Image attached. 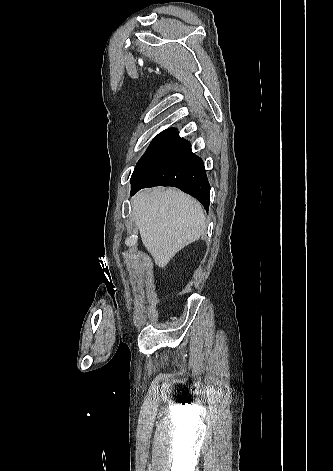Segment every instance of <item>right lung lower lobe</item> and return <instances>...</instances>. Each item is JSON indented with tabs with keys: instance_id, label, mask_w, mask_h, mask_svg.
Instances as JSON below:
<instances>
[{
	"instance_id": "98d812e1",
	"label": "right lung lower lobe",
	"mask_w": 333,
	"mask_h": 471,
	"mask_svg": "<svg viewBox=\"0 0 333 471\" xmlns=\"http://www.w3.org/2000/svg\"><path fill=\"white\" fill-rule=\"evenodd\" d=\"M131 184V195L146 187L174 186L209 209L210 184L204 163L175 128L166 130L150 144L136 164Z\"/></svg>"
}]
</instances>
